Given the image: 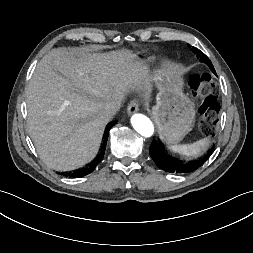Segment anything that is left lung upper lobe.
I'll return each mask as SVG.
<instances>
[{
	"instance_id": "5c2ea615",
	"label": "left lung upper lobe",
	"mask_w": 253,
	"mask_h": 253,
	"mask_svg": "<svg viewBox=\"0 0 253 253\" xmlns=\"http://www.w3.org/2000/svg\"><path fill=\"white\" fill-rule=\"evenodd\" d=\"M193 52L199 54V55H205L204 53H202L200 50H197L195 47L192 48ZM200 58V57H199Z\"/></svg>"
}]
</instances>
